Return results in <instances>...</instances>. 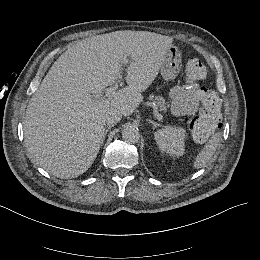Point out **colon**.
Instances as JSON below:
<instances>
[{
	"label": "colon",
	"instance_id": "1",
	"mask_svg": "<svg viewBox=\"0 0 260 260\" xmlns=\"http://www.w3.org/2000/svg\"><path fill=\"white\" fill-rule=\"evenodd\" d=\"M186 79L190 83H196L205 81L207 79V70L200 59L191 58L188 60L186 67ZM222 109L218 110L215 114L221 112ZM215 114H207V116L213 117Z\"/></svg>",
	"mask_w": 260,
	"mask_h": 260
}]
</instances>
